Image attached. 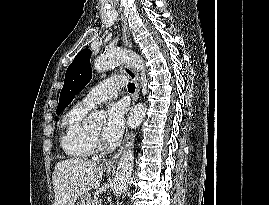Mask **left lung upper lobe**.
<instances>
[{
	"label": "left lung upper lobe",
	"instance_id": "left-lung-upper-lobe-1",
	"mask_svg": "<svg viewBox=\"0 0 269 205\" xmlns=\"http://www.w3.org/2000/svg\"><path fill=\"white\" fill-rule=\"evenodd\" d=\"M90 55L91 51L89 49L80 51L68 67L56 110L57 115L71 103L75 95L91 80Z\"/></svg>",
	"mask_w": 269,
	"mask_h": 205
}]
</instances>
